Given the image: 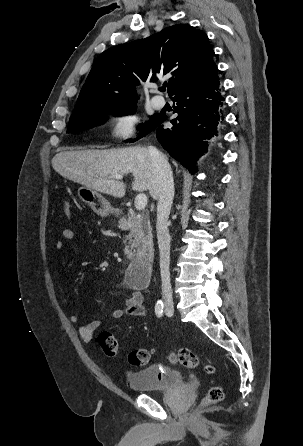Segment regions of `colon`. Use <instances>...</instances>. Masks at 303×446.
<instances>
[{
    "label": "colon",
    "instance_id": "obj_1",
    "mask_svg": "<svg viewBox=\"0 0 303 446\" xmlns=\"http://www.w3.org/2000/svg\"><path fill=\"white\" fill-rule=\"evenodd\" d=\"M63 211L67 217L71 216V206L68 202L63 204ZM97 341L109 357H115L118 353V342L115 336L109 332H101L98 335ZM152 352L147 349H137L129 353L128 361L134 366L146 365L151 358ZM168 361L172 364L182 365L189 369L198 368L201 364L199 357L188 349H180L174 353H171L167 357ZM203 369L206 374L214 376L216 375V368L211 364H205ZM224 398V392L222 387H212L205 398L203 399L204 405L216 404L222 401Z\"/></svg>",
    "mask_w": 303,
    "mask_h": 446
}]
</instances>
